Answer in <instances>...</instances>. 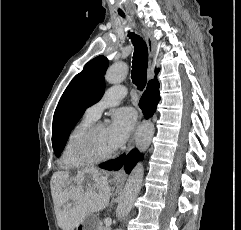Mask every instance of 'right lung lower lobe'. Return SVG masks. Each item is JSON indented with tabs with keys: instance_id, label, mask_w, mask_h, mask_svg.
<instances>
[{
	"instance_id": "1",
	"label": "right lung lower lobe",
	"mask_w": 241,
	"mask_h": 230,
	"mask_svg": "<svg viewBox=\"0 0 241 230\" xmlns=\"http://www.w3.org/2000/svg\"><path fill=\"white\" fill-rule=\"evenodd\" d=\"M159 101V82L156 79L155 81L148 83L147 89L139 101V106L142 109L146 119L154 114Z\"/></svg>"
}]
</instances>
